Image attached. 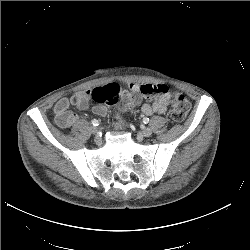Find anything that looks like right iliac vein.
Segmentation results:
<instances>
[{"label":"right iliac vein","mask_w":250,"mask_h":250,"mask_svg":"<svg viewBox=\"0 0 250 250\" xmlns=\"http://www.w3.org/2000/svg\"><path fill=\"white\" fill-rule=\"evenodd\" d=\"M90 131L93 134H97L98 133V129L96 127H94V126H91Z\"/></svg>","instance_id":"right-iliac-vein-1"}]
</instances>
